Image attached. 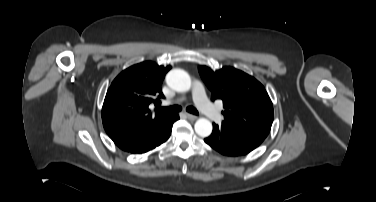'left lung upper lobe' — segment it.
Wrapping results in <instances>:
<instances>
[{
	"instance_id": "left-lung-upper-lobe-1",
	"label": "left lung upper lobe",
	"mask_w": 376,
	"mask_h": 202,
	"mask_svg": "<svg viewBox=\"0 0 376 202\" xmlns=\"http://www.w3.org/2000/svg\"><path fill=\"white\" fill-rule=\"evenodd\" d=\"M199 73L211 90V97L223 101L224 123L267 137L273 122V106L263 85L232 67L214 72L199 66Z\"/></svg>"
}]
</instances>
